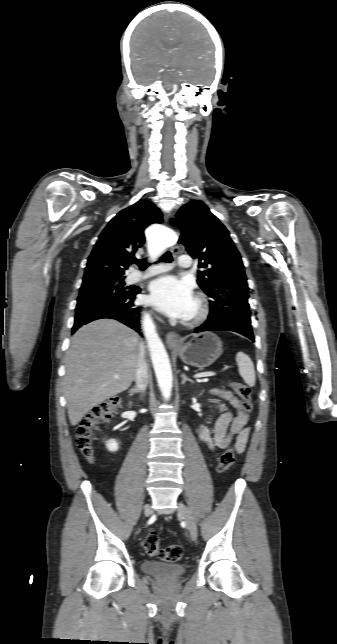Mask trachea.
<instances>
[{
	"label": "trachea",
	"mask_w": 337,
	"mask_h": 644,
	"mask_svg": "<svg viewBox=\"0 0 337 644\" xmlns=\"http://www.w3.org/2000/svg\"><path fill=\"white\" fill-rule=\"evenodd\" d=\"M161 260H162V261H165V262H171V261H172V255H171V253H170V252L165 253V254L163 255V257L161 258ZM133 263H134V264H137V265L140 267V269H145V268H147V267H148V265H149V263L147 262V260H146V259L135 260V261H133Z\"/></svg>",
	"instance_id": "3493384b"
}]
</instances>
